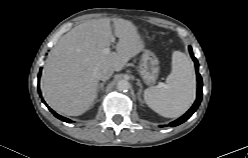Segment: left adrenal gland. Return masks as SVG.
Segmentation results:
<instances>
[{
    "instance_id": "a2214340",
    "label": "left adrenal gland",
    "mask_w": 248,
    "mask_h": 158,
    "mask_svg": "<svg viewBox=\"0 0 248 158\" xmlns=\"http://www.w3.org/2000/svg\"><path fill=\"white\" fill-rule=\"evenodd\" d=\"M137 85L140 87V89H139V91H138V98H139V101L141 102V103H143V100L141 99V93H142V84H141V82H140V80H137Z\"/></svg>"
}]
</instances>
